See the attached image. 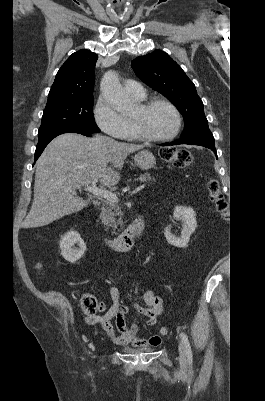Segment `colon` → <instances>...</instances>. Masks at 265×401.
Here are the masks:
<instances>
[{"instance_id": "5ec220e1", "label": "colon", "mask_w": 265, "mask_h": 401, "mask_svg": "<svg viewBox=\"0 0 265 401\" xmlns=\"http://www.w3.org/2000/svg\"><path fill=\"white\" fill-rule=\"evenodd\" d=\"M160 154L166 162L177 168H184L192 164V157L185 150L167 147L163 148ZM207 189L209 198L214 204L216 210L225 216L228 205L220 190L219 182L216 179H210L207 183ZM81 309L84 314L92 316L101 309V304L93 295H85L81 299ZM160 333L162 335H167L169 330L166 327H162Z\"/></svg>"}]
</instances>
